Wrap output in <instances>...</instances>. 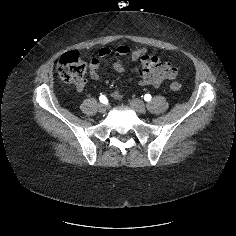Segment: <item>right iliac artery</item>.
Returning a JSON list of instances; mask_svg holds the SVG:
<instances>
[{"mask_svg": "<svg viewBox=\"0 0 236 236\" xmlns=\"http://www.w3.org/2000/svg\"><path fill=\"white\" fill-rule=\"evenodd\" d=\"M99 100H100L101 103H105V102L107 101V98H106L105 95H101V96L99 97Z\"/></svg>", "mask_w": 236, "mask_h": 236, "instance_id": "obj_1", "label": "right iliac artery"}]
</instances>
